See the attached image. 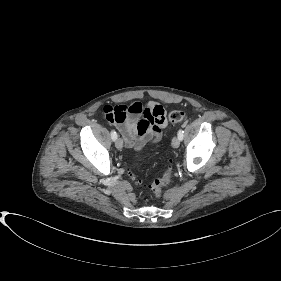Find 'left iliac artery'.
Segmentation results:
<instances>
[{"label": "left iliac artery", "instance_id": "44dca946", "mask_svg": "<svg viewBox=\"0 0 281 281\" xmlns=\"http://www.w3.org/2000/svg\"><path fill=\"white\" fill-rule=\"evenodd\" d=\"M184 131L182 130V129H180L179 131H178V137L180 138V140H182L183 139V136H184Z\"/></svg>", "mask_w": 281, "mask_h": 281}]
</instances>
